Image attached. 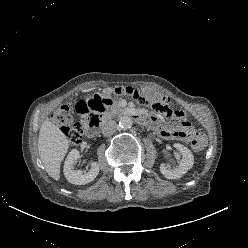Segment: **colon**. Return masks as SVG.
Segmentation results:
<instances>
[{
	"label": "colon",
	"instance_id": "obj_1",
	"mask_svg": "<svg viewBox=\"0 0 248 248\" xmlns=\"http://www.w3.org/2000/svg\"><path fill=\"white\" fill-rule=\"evenodd\" d=\"M115 93L133 95L139 103L150 106L153 111L160 115L165 121L181 119L184 116L183 111L172 108L170 99L167 96L158 92L122 87L116 88ZM75 111L81 115V121L74 118L71 107L67 105L59 107L53 115L54 123L61 127L63 133L74 146L82 141L84 121L87 120L90 110L85 106L82 100L76 103ZM205 143L203 138H194L191 142V148L195 153H200L205 148Z\"/></svg>",
	"mask_w": 248,
	"mask_h": 248
}]
</instances>
